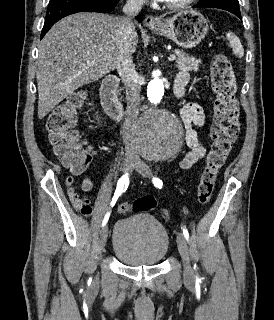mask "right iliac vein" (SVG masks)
<instances>
[{"instance_id": "63e3f726", "label": "right iliac vein", "mask_w": 274, "mask_h": 320, "mask_svg": "<svg viewBox=\"0 0 274 320\" xmlns=\"http://www.w3.org/2000/svg\"><path fill=\"white\" fill-rule=\"evenodd\" d=\"M136 160L130 157H127L122 165V171L125 173H128L135 165ZM109 229L108 226L105 225L101 232H100V250L102 251L104 249V246L106 245L107 238H108ZM95 284H98V279L95 281Z\"/></svg>"}]
</instances>
